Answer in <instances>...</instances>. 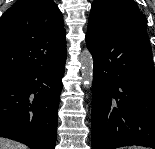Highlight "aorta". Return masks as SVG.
<instances>
[{"mask_svg": "<svg viewBox=\"0 0 155 149\" xmlns=\"http://www.w3.org/2000/svg\"><path fill=\"white\" fill-rule=\"evenodd\" d=\"M82 67V82L84 87H89L93 82V59L91 53L86 49L80 55Z\"/></svg>", "mask_w": 155, "mask_h": 149, "instance_id": "aorta-1", "label": "aorta"}]
</instances>
